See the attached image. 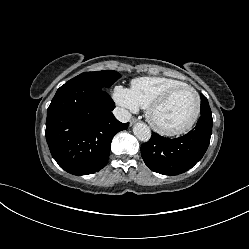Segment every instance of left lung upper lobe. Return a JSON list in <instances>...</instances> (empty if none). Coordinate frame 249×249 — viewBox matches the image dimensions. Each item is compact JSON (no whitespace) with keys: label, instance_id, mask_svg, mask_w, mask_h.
<instances>
[{"label":"left lung upper lobe","instance_id":"obj_1","mask_svg":"<svg viewBox=\"0 0 249 249\" xmlns=\"http://www.w3.org/2000/svg\"><path fill=\"white\" fill-rule=\"evenodd\" d=\"M201 114H211V110L209 107V103L207 98L201 94V110H200Z\"/></svg>","mask_w":249,"mask_h":249}]
</instances>
